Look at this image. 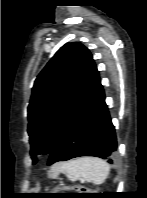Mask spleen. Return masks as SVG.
<instances>
[{
  "instance_id": "obj_1",
  "label": "spleen",
  "mask_w": 147,
  "mask_h": 198,
  "mask_svg": "<svg viewBox=\"0 0 147 198\" xmlns=\"http://www.w3.org/2000/svg\"><path fill=\"white\" fill-rule=\"evenodd\" d=\"M61 171L70 181L85 178L96 185L104 183L109 175V164L97 157H80L62 164Z\"/></svg>"
}]
</instances>
